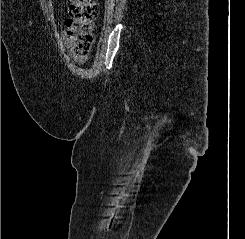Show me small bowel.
<instances>
[{"label": "small bowel", "instance_id": "obj_1", "mask_svg": "<svg viewBox=\"0 0 245 239\" xmlns=\"http://www.w3.org/2000/svg\"><path fill=\"white\" fill-rule=\"evenodd\" d=\"M73 59L77 62V63H85L87 61V56L86 57H78V56H74L73 55Z\"/></svg>", "mask_w": 245, "mask_h": 239}]
</instances>
